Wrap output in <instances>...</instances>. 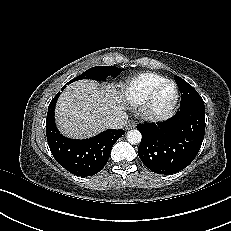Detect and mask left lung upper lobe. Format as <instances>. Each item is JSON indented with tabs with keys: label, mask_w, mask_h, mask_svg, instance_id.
Instances as JSON below:
<instances>
[{
	"label": "left lung upper lobe",
	"mask_w": 231,
	"mask_h": 231,
	"mask_svg": "<svg viewBox=\"0 0 231 231\" xmlns=\"http://www.w3.org/2000/svg\"><path fill=\"white\" fill-rule=\"evenodd\" d=\"M174 78L181 92V103L204 102L198 92L189 83L178 76Z\"/></svg>",
	"instance_id": "5c2ea615"
}]
</instances>
